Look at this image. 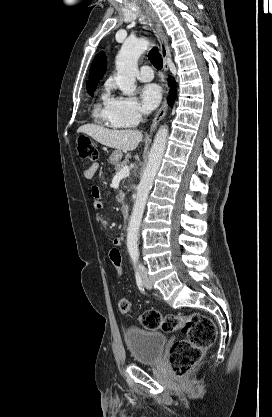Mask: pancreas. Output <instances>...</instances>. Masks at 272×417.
<instances>
[{
    "instance_id": "obj_1",
    "label": "pancreas",
    "mask_w": 272,
    "mask_h": 417,
    "mask_svg": "<svg viewBox=\"0 0 272 417\" xmlns=\"http://www.w3.org/2000/svg\"><path fill=\"white\" fill-rule=\"evenodd\" d=\"M128 160H129V156H126V158H125V160H124V161H122V162H120V163L116 164V166H115V170H116L117 172H119V171H120L123 167H125V166L127 165ZM116 199H117V201H118L119 203H122V202H123V199H124V193L122 192V190H120V191H119L118 195L116 196Z\"/></svg>"
}]
</instances>
